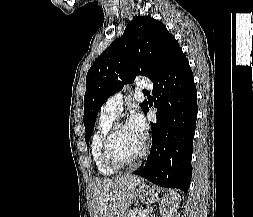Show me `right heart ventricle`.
Masks as SVG:
<instances>
[{
	"instance_id": "obj_1",
	"label": "right heart ventricle",
	"mask_w": 253,
	"mask_h": 217,
	"mask_svg": "<svg viewBox=\"0 0 253 217\" xmlns=\"http://www.w3.org/2000/svg\"><path fill=\"white\" fill-rule=\"evenodd\" d=\"M115 120L116 117L101 113L91 140V155L93 162L97 171L105 176H111L117 172V169L111 168L104 163L100 153L102 140Z\"/></svg>"
}]
</instances>
